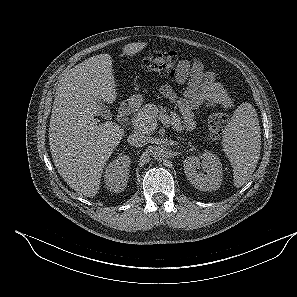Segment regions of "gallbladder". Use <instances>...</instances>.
<instances>
[{
    "mask_svg": "<svg viewBox=\"0 0 297 297\" xmlns=\"http://www.w3.org/2000/svg\"><path fill=\"white\" fill-rule=\"evenodd\" d=\"M99 107V113L106 119L110 118V111L107 109L103 101H97Z\"/></svg>",
    "mask_w": 297,
    "mask_h": 297,
    "instance_id": "bac80fb5",
    "label": "gallbladder"
}]
</instances>
